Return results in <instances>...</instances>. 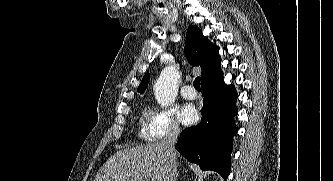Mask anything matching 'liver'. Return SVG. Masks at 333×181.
<instances>
[{
  "label": "liver",
  "instance_id": "obj_1",
  "mask_svg": "<svg viewBox=\"0 0 333 181\" xmlns=\"http://www.w3.org/2000/svg\"><path fill=\"white\" fill-rule=\"evenodd\" d=\"M168 157L161 143L120 150L100 168L94 181H166Z\"/></svg>",
  "mask_w": 333,
  "mask_h": 181
}]
</instances>
